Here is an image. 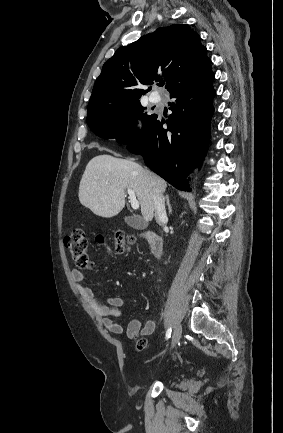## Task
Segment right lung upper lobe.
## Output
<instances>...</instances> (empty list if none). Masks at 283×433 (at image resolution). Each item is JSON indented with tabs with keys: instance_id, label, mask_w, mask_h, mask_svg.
I'll use <instances>...</instances> for the list:
<instances>
[{
	"instance_id": "cb5924a9",
	"label": "right lung upper lobe",
	"mask_w": 283,
	"mask_h": 433,
	"mask_svg": "<svg viewBox=\"0 0 283 433\" xmlns=\"http://www.w3.org/2000/svg\"><path fill=\"white\" fill-rule=\"evenodd\" d=\"M213 74L197 33L188 25L158 28L117 49L105 62L87 107L88 115L98 110L139 101L152 84L163 78L169 92L191 87Z\"/></svg>"
}]
</instances>
